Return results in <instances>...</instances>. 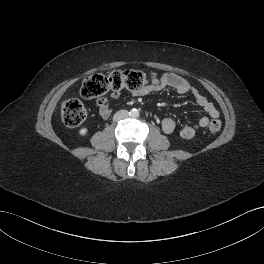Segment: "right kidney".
I'll use <instances>...</instances> for the list:
<instances>
[{"label": "right kidney", "instance_id": "obj_1", "mask_svg": "<svg viewBox=\"0 0 264 264\" xmlns=\"http://www.w3.org/2000/svg\"><path fill=\"white\" fill-rule=\"evenodd\" d=\"M87 132H88V129H87V128H81V129L79 130V134H80L81 136L86 135Z\"/></svg>", "mask_w": 264, "mask_h": 264}]
</instances>
